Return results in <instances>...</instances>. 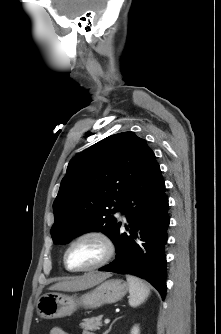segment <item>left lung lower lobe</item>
I'll return each mask as SVG.
<instances>
[{"instance_id": "1", "label": "left lung lower lobe", "mask_w": 221, "mask_h": 334, "mask_svg": "<svg viewBox=\"0 0 221 334\" xmlns=\"http://www.w3.org/2000/svg\"><path fill=\"white\" fill-rule=\"evenodd\" d=\"M120 211L128 219L129 231H120L121 223L116 224L111 237L116 258L99 270L134 274L150 282L164 298V248L170 218L165 183L155 158L125 196Z\"/></svg>"}]
</instances>
